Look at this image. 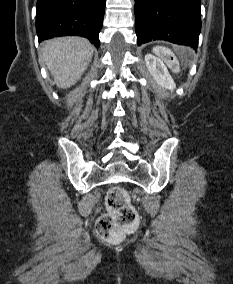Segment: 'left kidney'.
Here are the masks:
<instances>
[{"label":"left kidney","instance_id":"1","mask_svg":"<svg viewBox=\"0 0 233 284\" xmlns=\"http://www.w3.org/2000/svg\"><path fill=\"white\" fill-rule=\"evenodd\" d=\"M145 62L148 71L158 85L171 91L175 88V83L169 74L167 67L160 58L152 54H147L145 55Z\"/></svg>","mask_w":233,"mask_h":284}]
</instances>
